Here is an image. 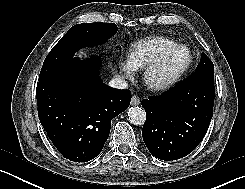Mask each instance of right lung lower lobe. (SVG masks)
<instances>
[{"label":"right lung lower lobe","instance_id":"98d812e1","mask_svg":"<svg viewBox=\"0 0 245 189\" xmlns=\"http://www.w3.org/2000/svg\"><path fill=\"white\" fill-rule=\"evenodd\" d=\"M100 63L97 57L74 58L37 85L40 122L57 150L74 162L90 161L102 151L111 120L131 101L129 90L103 83Z\"/></svg>","mask_w":245,"mask_h":189}]
</instances>
